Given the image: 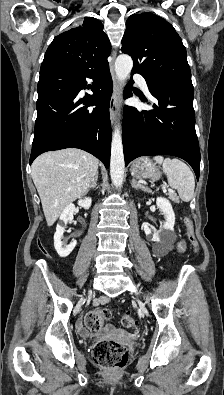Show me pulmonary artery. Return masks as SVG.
<instances>
[{
  "label": "pulmonary artery",
  "mask_w": 224,
  "mask_h": 395,
  "mask_svg": "<svg viewBox=\"0 0 224 395\" xmlns=\"http://www.w3.org/2000/svg\"><path fill=\"white\" fill-rule=\"evenodd\" d=\"M133 78L139 84V86L141 87L143 92L146 93L147 95H149V89H148V85H147L145 78L142 75L137 74V73H135L133 75Z\"/></svg>",
  "instance_id": "e3ab8cb5"
}]
</instances>
